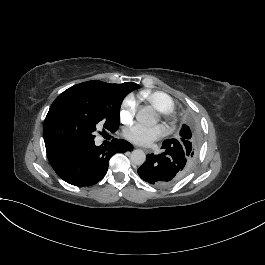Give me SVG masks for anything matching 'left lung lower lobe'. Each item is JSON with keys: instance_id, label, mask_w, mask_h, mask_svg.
Wrapping results in <instances>:
<instances>
[{"instance_id": "0a47b994", "label": "left lung lower lobe", "mask_w": 265, "mask_h": 265, "mask_svg": "<svg viewBox=\"0 0 265 265\" xmlns=\"http://www.w3.org/2000/svg\"><path fill=\"white\" fill-rule=\"evenodd\" d=\"M162 149L161 154L147 155V160L137 171L141 179L156 186L171 185L187 173L185 155L177 141L165 140Z\"/></svg>"}]
</instances>
